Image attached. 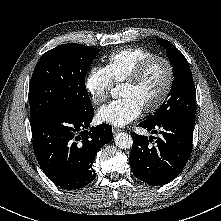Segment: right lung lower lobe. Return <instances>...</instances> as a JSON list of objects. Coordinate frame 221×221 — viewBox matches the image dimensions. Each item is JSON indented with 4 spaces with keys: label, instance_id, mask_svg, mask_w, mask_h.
Instances as JSON below:
<instances>
[{
    "label": "right lung lower lobe",
    "instance_id": "1",
    "mask_svg": "<svg viewBox=\"0 0 221 221\" xmlns=\"http://www.w3.org/2000/svg\"><path fill=\"white\" fill-rule=\"evenodd\" d=\"M93 116V108L82 114L57 110L31 123L38 163L57 186L79 189L94 179L95 154L113 134L105 123L90 127Z\"/></svg>",
    "mask_w": 221,
    "mask_h": 221
}]
</instances>
